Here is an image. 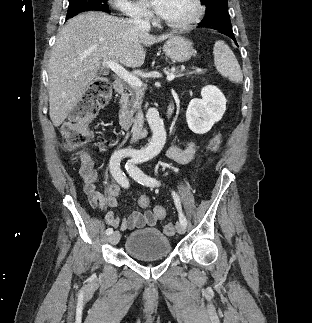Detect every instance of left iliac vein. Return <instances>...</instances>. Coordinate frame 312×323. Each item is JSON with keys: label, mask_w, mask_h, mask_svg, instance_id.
<instances>
[{"label": "left iliac vein", "mask_w": 312, "mask_h": 323, "mask_svg": "<svg viewBox=\"0 0 312 323\" xmlns=\"http://www.w3.org/2000/svg\"><path fill=\"white\" fill-rule=\"evenodd\" d=\"M176 228L179 234L185 233V226L181 222L176 223Z\"/></svg>", "instance_id": "1"}]
</instances>
